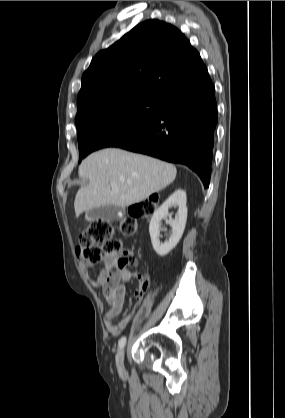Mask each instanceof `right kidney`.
I'll return each mask as SVG.
<instances>
[{
	"label": "right kidney",
	"mask_w": 285,
	"mask_h": 418,
	"mask_svg": "<svg viewBox=\"0 0 285 418\" xmlns=\"http://www.w3.org/2000/svg\"><path fill=\"white\" fill-rule=\"evenodd\" d=\"M186 202V192L179 189L170 195L169 198L154 212L149 224V233L153 248L159 256L167 255L180 241L187 220ZM170 207H178L175 219H172L171 214L168 212ZM167 216L170 219L172 234L167 241L162 243L159 240L160 225L162 219Z\"/></svg>",
	"instance_id": "1"
}]
</instances>
